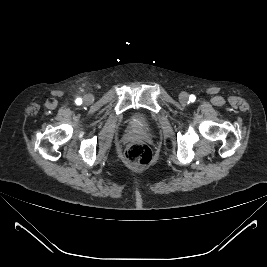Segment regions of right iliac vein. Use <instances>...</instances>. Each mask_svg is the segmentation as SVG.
I'll return each mask as SVG.
<instances>
[{"instance_id":"63e3f726","label":"right iliac vein","mask_w":267,"mask_h":267,"mask_svg":"<svg viewBox=\"0 0 267 267\" xmlns=\"http://www.w3.org/2000/svg\"><path fill=\"white\" fill-rule=\"evenodd\" d=\"M93 101V97L91 95H86L84 97V103L89 104Z\"/></svg>"}]
</instances>
